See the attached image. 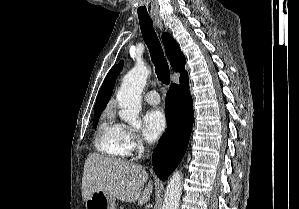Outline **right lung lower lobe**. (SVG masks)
Wrapping results in <instances>:
<instances>
[{
    "label": "right lung lower lobe",
    "instance_id": "right-lung-lower-lobe-1",
    "mask_svg": "<svg viewBox=\"0 0 299 209\" xmlns=\"http://www.w3.org/2000/svg\"><path fill=\"white\" fill-rule=\"evenodd\" d=\"M180 83L171 85L166 94L167 130L152 157L154 171L161 180H165L182 160L193 125L188 79Z\"/></svg>",
    "mask_w": 299,
    "mask_h": 209
}]
</instances>
